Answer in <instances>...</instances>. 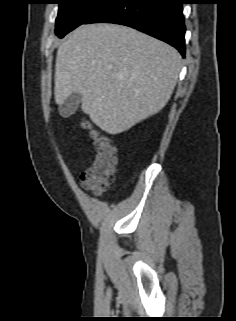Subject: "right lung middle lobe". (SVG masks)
I'll return each instance as SVG.
<instances>
[{"instance_id":"right-lung-middle-lobe-1","label":"right lung middle lobe","mask_w":236,"mask_h":321,"mask_svg":"<svg viewBox=\"0 0 236 321\" xmlns=\"http://www.w3.org/2000/svg\"><path fill=\"white\" fill-rule=\"evenodd\" d=\"M109 0H58L59 12L55 24V34L62 38L83 24L91 15Z\"/></svg>"}]
</instances>
